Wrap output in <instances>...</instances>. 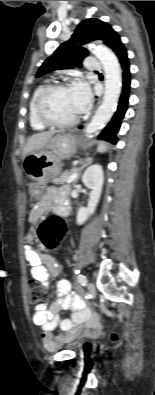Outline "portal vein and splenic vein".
<instances>
[{
  "label": "portal vein and splenic vein",
  "instance_id": "portal-vein-and-splenic-vein-1",
  "mask_svg": "<svg viewBox=\"0 0 155 395\" xmlns=\"http://www.w3.org/2000/svg\"><path fill=\"white\" fill-rule=\"evenodd\" d=\"M77 176V173H73L69 178H68V180L66 181L67 183H71L74 179H75V177Z\"/></svg>",
  "mask_w": 155,
  "mask_h": 395
}]
</instances>
